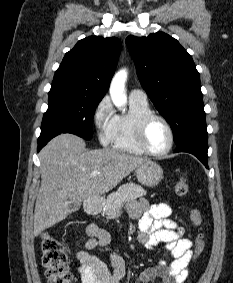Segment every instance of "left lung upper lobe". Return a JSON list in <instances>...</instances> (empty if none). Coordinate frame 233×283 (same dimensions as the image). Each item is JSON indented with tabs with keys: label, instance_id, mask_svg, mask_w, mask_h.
Segmentation results:
<instances>
[{
	"label": "left lung upper lobe",
	"instance_id": "obj_1",
	"mask_svg": "<svg viewBox=\"0 0 233 283\" xmlns=\"http://www.w3.org/2000/svg\"><path fill=\"white\" fill-rule=\"evenodd\" d=\"M142 87L170 124L176 146L207 138L200 76L190 54L164 32L128 36Z\"/></svg>",
	"mask_w": 233,
	"mask_h": 283
}]
</instances>
